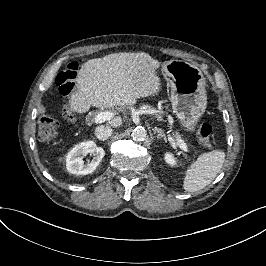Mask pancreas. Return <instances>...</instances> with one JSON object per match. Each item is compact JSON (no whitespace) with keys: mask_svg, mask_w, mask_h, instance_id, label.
I'll return each instance as SVG.
<instances>
[{"mask_svg":"<svg viewBox=\"0 0 266 266\" xmlns=\"http://www.w3.org/2000/svg\"><path fill=\"white\" fill-rule=\"evenodd\" d=\"M142 108H143L144 110H146L148 113H152V114H154L155 117L157 118V120H159V121L163 120V118H162V114H163L164 112H162V111L157 112V110L154 109V108H153L152 106H150V105H143ZM175 136H176L177 138H180V135H179L178 133H175Z\"/></svg>","mask_w":266,"mask_h":266,"instance_id":"obj_1","label":"pancreas"}]
</instances>
